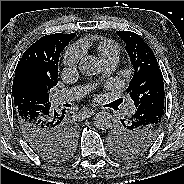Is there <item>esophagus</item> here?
Here are the masks:
<instances>
[{
	"label": "esophagus",
	"mask_w": 184,
	"mask_h": 184,
	"mask_svg": "<svg viewBox=\"0 0 184 184\" xmlns=\"http://www.w3.org/2000/svg\"><path fill=\"white\" fill-rule=\"evenodd\" d=\"M94 113H95V110L87 109V110L82 112V115L85 117H90V116L94 115Z\"/></svg>",
	"instance_id": "esophagus-1"
}]
</instances>
